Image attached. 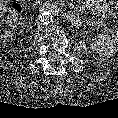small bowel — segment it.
Wrapping results in <instances>:
<instances>
[{
    "label": "small bowel",
    "mask_w": 118,
    "mask_h": 118,
    "mask_svg": "<svg viewBox=\"0 0 118 118\" xmlns=\"http://www.w3.org/2000/svg\"><path fill=\"white\" fill-rule=\"evenodd\" d=\"M85 6L99 14H106L110 11V6L106 0H87ZM114 38L118 42V31L114 33Z\"/></svg>",
    "instance_id": "small-bowel-1"
}]
</instances>
